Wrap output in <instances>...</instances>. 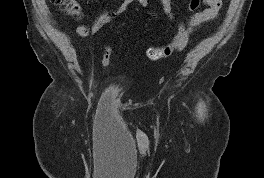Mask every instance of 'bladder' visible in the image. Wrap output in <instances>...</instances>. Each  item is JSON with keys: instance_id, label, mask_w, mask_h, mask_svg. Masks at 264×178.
Returning <instances> with one entry per match:
<instances>
[{"instance_id": "obj_1", "label": "bladder", "mask_w": 264, "mask_h": 178, "mask_svg": "<svg viewBox=\"0 0 264 178\" xmlns=\"http://www.w3.org/2000/svg\"><path fill=\"white\" fill-rule=\"evenodd\" d=\"M122 85L118 80H111L107 83L105 88V95L114 98L122 93Z\"/></svg>"}]
</instances>
